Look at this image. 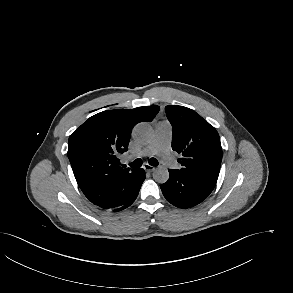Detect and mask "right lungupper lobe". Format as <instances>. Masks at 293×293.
<instances>
[{
	"mask_svg": "<svg viewBox=\"0 0 293 293\" xmlns=\"http://www.w3.org/2000/svg\"><path fill=\"white\" fill-rule=\"evenodd\" d=\"M159 106L116 109L90 117L68 142V158L84 195L103 209L125 204L139 184V169H123L118 156L127 151L132 128L152 121Z\"/></svg>",
	"mask_w": 293,
	"mask_h": 293,
	"instance_id": "1",
	"label": "right lung upper lobe"
}]
</instances>
